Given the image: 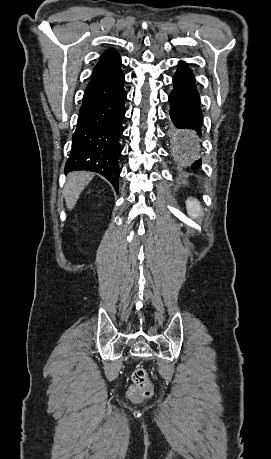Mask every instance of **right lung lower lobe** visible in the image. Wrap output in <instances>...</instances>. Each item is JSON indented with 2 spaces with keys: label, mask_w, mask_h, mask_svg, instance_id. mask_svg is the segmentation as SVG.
<instances>
[{
  "label": "right lung lower lobe",
  "mask_w": 271,
  "mask_h": 459,
  "mask_svg": "<svg viewBox=\"0 0 271 459\" xmlns=\"http://www.w3.org/2000/svg\"><path fill=\"white\" fill-rule=\"evenodd\" d=\"M124 81V74L118 71L89 82L65 166L66 172L88 170L100 173L116 191L120 174L119 138L123 133L124 101L127 97Z\"/></svg>",
  "instance_id": "right-lung-lower-lobe-1"
}]
</instances>
